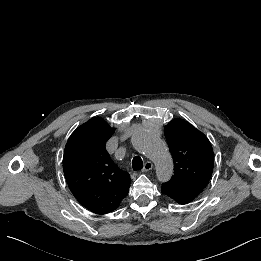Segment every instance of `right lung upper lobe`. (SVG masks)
Listing matches in <instances>:
<instances>
[{"label": "right lung upper lobe", "instance_id": "obj_1", "mask_svg": "<svg viewBox=\"0 0 261 261\" xmlns=\"http://www.w3.org/2000/svg\"><path fill=\"white\" fill-rule=\"evenodd\" d=\"M115 132L104 119L94 117L69 137L63 170L79 203L96 214L115 210L128 194L130 176L110 158L105 144Z\"/></svg>", "mask_w": 261, "mask_h": 261}]
</instances>
